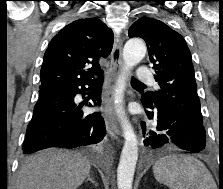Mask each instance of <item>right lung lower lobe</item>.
Segmentation results:
<instances>
[{"label": "right lung lower lobe", "mask_w": 223, "mask_h": 189, "mask_svg": "<svg viewBox=\"0 0 223 189\" xmlns=\"http://www.w3.org/2000/svg\"><path fill=\"white\" fill-rule=\"evenodd\" d=\"M95 87L93 83L72 87L39 90V99L27 127L23 143L24 153H34L49 147L76 148L100 142L105 133V122L100 113L83 114L74 102L77 94ZM95 105L101 104V88L92 96ZM93 107L91 103H86Z\"/></svg>", "instance_id": "1"}]
</instances>
